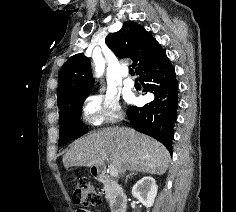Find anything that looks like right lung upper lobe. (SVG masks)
<instances>
[{
    "label": "right lung upper lobe",
    "mask_w": 236,
    "mask_h": 212,
    "mask_svg": "<svg viewBox=\"0 0 236 212\" xmlns=\"http://www.w3.org/2000/svg\"><path fill=\"white\" fill-rule=\"evenodd\" d=\"M105 41L119 58L133 60L132 67L137 74L160 45L144 27L133 21L125 22L121 30L108 35ZM93 82L89 58L83 53L70 57L59 73V109H64L81 96L89 95Z\"/></svg>",
    "instance_id": "obj_1"
}]
</instances>
